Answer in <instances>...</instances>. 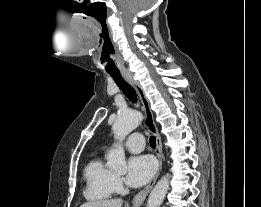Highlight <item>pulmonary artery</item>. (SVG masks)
I'll list each match as a JSON object with an SVG mask.
<instances>
[{"instance_id":"pulmonary-artery-1","label":"pulmonary artery","mask_w":261,"mask_h":207,"mask_svg":"<svg viewBox=\"0 0 261 207\" xmlns=\"http://www.w3.org/2000/svg\"><path fill=\"white\" fill-rule=\"evenodd\" d=\"M125 147L129 152L139 153L144 148V138L140 133H133L125 143Z\"/></svg>"}]
</instances>
